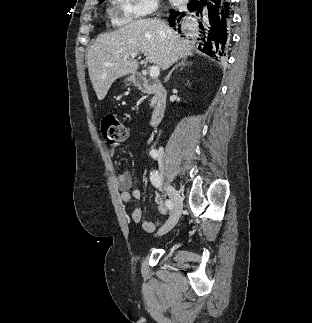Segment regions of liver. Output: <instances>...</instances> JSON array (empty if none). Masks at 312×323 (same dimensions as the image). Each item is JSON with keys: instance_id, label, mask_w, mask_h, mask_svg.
<instances>
[{"instance_id": "6515ba94", "label": "liver", "mask_w": 312, "mask_h": 323, "mask_svg": "<svg viewBox=\"0 0 312 323\" xmlns=\"http://www.w3.org/2000/svg\"><path fill=\"white\" fill-rule=\"evenodd\" d=\"M189 40L169 28L161 20H134L109 34H100L87 54L89 78L98 100H104L113 82L135 74L138 60L130 54L142 52L147 62L161 70L192 56Z\"/></svg>"}]
</instances>
